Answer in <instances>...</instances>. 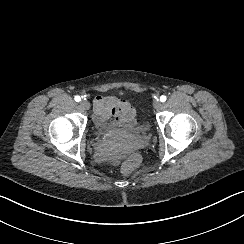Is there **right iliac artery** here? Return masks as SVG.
Masks as SVG:
<instances>
[{
    "label": "right iliac artery",
    "instance_id": "82829eb1",
    "mask_svg": "<svg viewBox=\"0 0 244 244\" xmlns=\"http://www.w3.org/2000/svg\"><path fill=\"white\" fill-rule=\"evenodd\" d=\"M74 99H75V101H76V102H79V101H81V98H80V96H75V98H74Z\"/></svg>",
    "mask_w": 244,
    "mask_h": 244
}]
</instances>
